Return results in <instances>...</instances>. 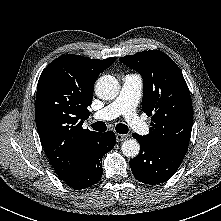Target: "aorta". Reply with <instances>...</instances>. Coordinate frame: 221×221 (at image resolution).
I'll return each instance as SVG.
<instances>
[{"label":"aorta","instance_id":"762f6f07","mask_svg":"<svg viewBox=\"0 0 221 221\" xmlns=\"http://www.w3.org/2000/svg\"><path fill=\"white\" fill-rule=\"evenodd\" d=\"M118 80L111 75L100 77L95 85V93L102 100H112L119 94ZM121 150L126 157L134 158L139 154L140 145L135 139H128L122 143Z\"/></svg>","mask_w":221,"mask_h":221}]
</instances>
